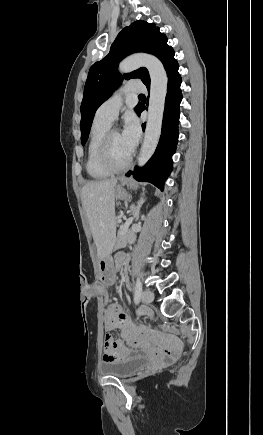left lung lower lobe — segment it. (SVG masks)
Masks as SVG:
<instances>
[{
	"label": "left lung lower lobe",
	"mask_w": 263,
	"mask_h": 435,
	"mask_svg": "<svg viewBox=\"0 0 263 435\" xmlns=\"http://www.w3.org/2000/svg\"><path fill=\"white\" fill-rule=\"evenodd\" d=\"M179 65L173 60L167 67L168 87L165 100L162 131L154 155L143 168L136 167L134 171L126 173L127 177L133 176L138 181L150 182L163 191L164 182L172 171V159L178 142L179 106L182 100L181 76L178 73ZM150 85L147 86V89ZM145 110L141 106L140 113ZM145 124H143V129Z\"/></svg>",
	"instance_id": "obj_1"
}]
</instances>
